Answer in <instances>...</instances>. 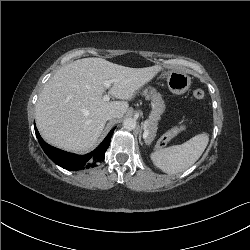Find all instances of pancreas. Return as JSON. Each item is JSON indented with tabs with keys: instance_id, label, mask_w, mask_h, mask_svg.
Masks as SVG:
<instances>
[{
	"instance_id": "pancreas-1",
	"label": "pancreas",
	"mask_w": 250,
	"mask_h": 250,
	"mask_svg": "<svg viewBox=\"0 0 250 250\" xmlns=\"http://www.w3.org/2000/svg\"><path fill=\"white\" fill-rule=\"evenodd\" d=\"M142 95L145 96L147 100H151L152 104V111L149 116V122H148V137H147V142L151 143L157 132V125H158V120L161 118V115L163 114L165 110V104L164 100L162 99V96L160 93H157L155 89H145L142 92ZM175 131L171 130L163 135V137L160 139V141L163 140L164 137H166V140L164 142L166 143L167 140L171 139L174 137Z\"/></svg>"
}]
</instances>
